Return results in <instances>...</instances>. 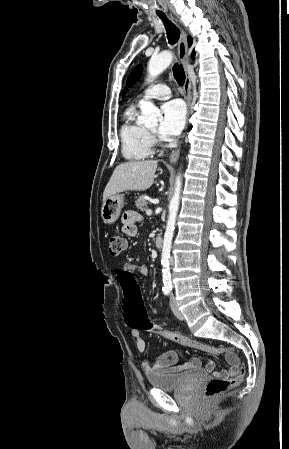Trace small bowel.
I'll return each instance as SVG.
<instances>
[{
    "instance_id": "obj_1",
    "label": "small bowel",
    "mask_w": 289,
    "mask_h": 449,
    "mask_svg": "<svg viewBox=\"0 0 289 449\" xmlns=\"http://www.w3.org/2000/svg\"><path fill=\"white\" fill-rule=\"evenodd\" d=\"M142 215L136 211H127L123 214L122 217V232L128 238H134L137 235V225L142 221ZM123 268H128L130 271L134 273L136 269H138L142 274H147L148 270L144 266H135L134 264L127 263L123 266ZM132 336L136 340V347L140 353H144L146 351V343L144 339L141 337V334L137 330L131 331ZM182 345L187 346L185 343L179 342ZM225 358L229 364L227 369H222L216 371L215 373L220 376L230 377L235 375L239 367L241 365L240 359L238 355L234 352H226ZM202 365L201 360L197 357H192L187 361L178 364L177 363V354L175 351H167L160 355L155 363H151L148 360H144L142 362V369L147 374H159V373H167V372H180L188 369H198ZM214 362L208 361L205 364V369L211 371L214 369Z\"/></svg>"
}]
</instances>
